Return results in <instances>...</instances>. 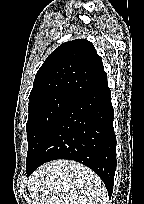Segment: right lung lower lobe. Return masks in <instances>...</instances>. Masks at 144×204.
Here are the masks:
<instances>
[{
    "label": "right lung lower lobe",
    "instance_id": "1",
    "mask_svg": "<svg viewBox=\"0 0 144 204\" xmlns=\"http://www.w3.org/2000/svg\"><path fill=\"white\" fill-rule=\"evenodd\" d=\"M110 94L106 80L76 95L26 169L27 176L45 162L70 159L94 170L111 196L117 161Z\"/></svg>",
    "mask_w": 144,
    "mask_h": 204
}]
</instances>
